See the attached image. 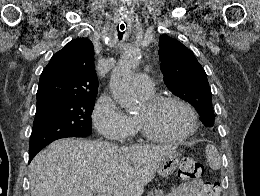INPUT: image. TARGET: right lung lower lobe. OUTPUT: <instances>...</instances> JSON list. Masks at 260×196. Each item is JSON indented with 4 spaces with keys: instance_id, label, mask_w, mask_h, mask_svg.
<instances>
[{
    "instance_id": "98d812e1",
    "label": "right lung lower lobe",
    "mask_w": 260,
    "mask_h": 196,
    "mask_svg": "<svg viewBox=\"0 0 260 196\" xmlns=\"http://www.w3.org/2000/svg\"><path fill=\"white\" fill-rule=\"evenodd\" d=\"M39 151H40V150L29 151V162L32 160V158H33Z\"/></svg>"
}]
</instances>
